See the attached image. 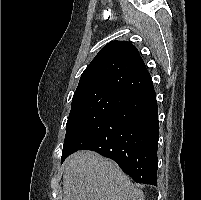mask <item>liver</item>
Segmentation results:
<instances>
[{
  "mask_svg": "<svg viewBox=\"0 0 201 200\" xmlns=\"http://www.w3.org/2000/svg\"><path fill=\"white\" fill-rule=\"evenodd\" d=\"M142 190L111 160L92 151L74 153L66 162L63 200H144Z\"/></svg>",
  "mask_w": 201,
  "mask_h": 200,
  "instance_id": "1",
  "label": "liver"
}]
</instances>
